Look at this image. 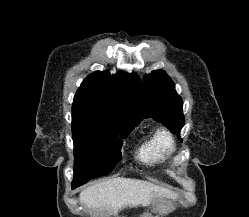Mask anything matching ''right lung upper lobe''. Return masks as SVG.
Here are the masks:
<instances>
[{"instance_id":"cb5924a9","label":"right lung upper lobe","mask_w":249,"mask_h":217,"mask_svg":"<svg viewBox=\"0 0 249 217\" xmlns=\"http://www.w3.org/2000/svg\"><path fill=\"white\" fill-rule=\"evenodd\" d=\"M73 105L89 106L136 126L144 118V89L135 73L97 71L83 80Z\"/></svg>"}]
</instances>
